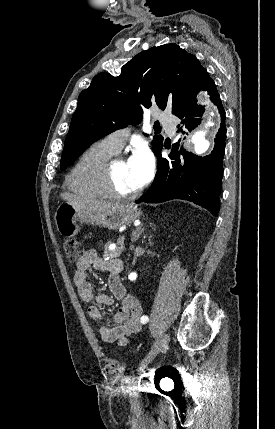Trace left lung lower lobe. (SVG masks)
<instances>
[{
    "mask_svg": "<svg viewBox=\"0 0 275 429\" xmlns=\"http://www.w3.org/2000/svg\"><path fill=\"white\" fill-rule=\"evenodd\" d=\"M201 90L208 91L221 114V128L214 140L213 151L205 157H200L183 148L178 151L179 145H177L173 147L166 159L161 157V149H159L155 153L158 167L155 179L146 194L135 201L136 203H160L183 199L218 216L226 139L225 112L215 83L205 68L199 74L192 98L176 114L181 119L177 132L185 134V130L192 131L200 123L204 108L197 105L195 98Z\"/></svg>",
    "mask_w": 275,
    "mask_h": 429,
    "instance_id": "1",
    "label": "left lung lower lobe"
}]
</instances>
